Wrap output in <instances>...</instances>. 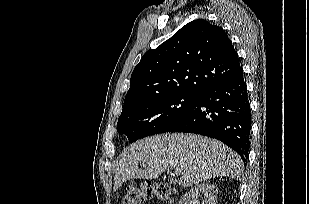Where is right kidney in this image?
<instances>
[{
	"label": "right kidney",
	"instance_id": "right-kidney-1",
	"mask_svg": "<svg viewBox=\"0 0 309 204\" xmlns=\"http://www.w3.org/2000/svg\"><path fill=\"white\" fill-rule=\"evenodd\" d=\"M218 189L214 184L200 183L191 188L179 201V204H199V196L203 195L202 204H216Z\"/></svg>",
	"mask_w": 309,
	"mask_h": 204
}]
</instances>
